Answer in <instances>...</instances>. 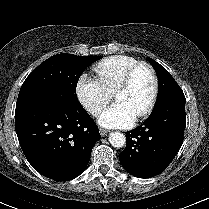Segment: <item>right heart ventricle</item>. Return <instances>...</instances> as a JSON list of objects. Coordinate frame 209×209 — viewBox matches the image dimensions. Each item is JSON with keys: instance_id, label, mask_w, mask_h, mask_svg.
<instances>
[{"instance_id": "1", "label": "right heart ventricle", "mask_w": 209, "mask_h": 209, "mask_svg": "<svg viewBox=\"0 0 209 209\" xmlns=\"http://www.w3.org/2000/svg\"><path fill=\"white\" fill-rule=\"evenodd\" d=\"M139 61L131 56L116 55L103 59L95 65L94 71L105 87L114 92L125 74Z\"/></svg>"}]
</instances>
